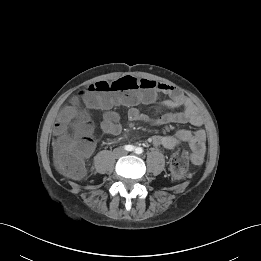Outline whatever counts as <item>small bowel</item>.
Segmentation results:
<instances>
[{
	"label": "small bowel",
	"mask_w": 261,
	"mask_h": 261,
	"mask_svg": "<svg viewBox=\"0 0 261 261\" xmlns=\"http://www.w3.org/2000/svg\"><path fill=\"white\" fill-rule=\"evenodd\" d=\"M157 92L166 95L168 98L154 105L149 113H143L136 104H132L127 112L128 120L154 125L188 123L197 127L194 131L179 129L173 135H154L151 138V142L155 146L167 149H172L185 143L192 151L191 160L193 164H201L206 153L207 138L206 132L202 128L204 125L203 116L198 108L176 87L167 84H159ZM106 99L109 100V102L102 105L104 112L101 127L106 134L117 135L122 130L120 123L121 116L117 111L113 110L112 106L115 105V103L112 101V98L107 97ZM67 109L75 111L77 117L79 114L81 115L83 118L82 130L85 134H90L93 127L88 116L85 113H80L75 104H71ZM76 118L73 121L66 122L63 113V116L56 125L57 130L64 125L76 123ZM94 148L95 144L90 142L84 157H89L93 153Z\"/></svg>",
	"instance_id": "1"
}]
</instances>
